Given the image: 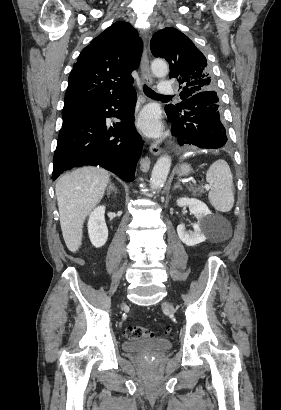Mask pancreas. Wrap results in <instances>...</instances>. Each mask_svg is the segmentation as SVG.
Listing matches in <instances>:
<instances>
[{"mask_svg": "<svg viewBox=\"0 0 281 410\" xmlns=\"http://www.w3.org/2000/svg\"><path fill=\"white\" fill-rule=\"evenodd\" d=\"M190 191H192L194 196H200L202 193H204V190L201 188H196V187H191Z\"/></svg>", "mask_w": 281, "mask_h": 410, "instance_id": "pancreas-1", "label": "pancreas"}]
</instances>
